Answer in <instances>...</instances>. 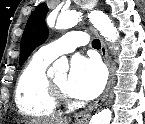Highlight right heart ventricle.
Instances as JSON below:
<instances>
[{
    "mask_svg": "<svg viewBox=\"0 0 145 124\" xmlns=\"http://www.w3.org/2000/svg\"><path fill=\"white\" fill-rule=\"evenodd\" d=\"M50 62L36 54L18 77L15 103L20 113L27 117H51L57 111V103L51 98L47 85L46 68Z\"/></svg>",
    "mask_w": 145,
    "mask_h": 124,
    "instance_id": "obj_1",
    "label": "right heart ventricle"
}]
</instances>
